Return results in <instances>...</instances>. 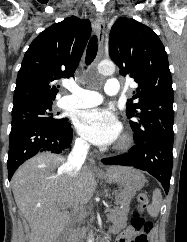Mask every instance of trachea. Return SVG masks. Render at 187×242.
Listing matches in <instances>:
<instances>
[{"mask_svg": "<svg viewBox=\"0 0 187 242\" xmlns=\"http://www.w3.org/2000/svg\"><path fill=\"white\" fill-rule=\"evenodd\" d=\"M98 51L97 37L94 35L90 39L86 50V65H90L95 59Z\"/></svg>", "mask_w": 187, "mask_h": 242, "instance_id": "obj_1", "label": "trachea"}]
</instances>
